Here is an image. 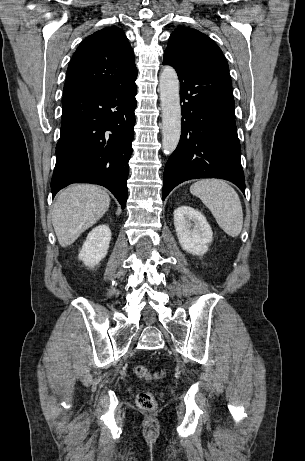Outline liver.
<instances>
[{"label":"liver","mask_w":305,"mask_h":461,"mask_svg":"<svg viewBox=\"0 0 305 461\" xmlns=\"http://www.w3.org/2000/svg\"><path fill=\"white\" fill-rule=\"evenodd\" d=\"M109 195L100 187L77 184L66 188L57 197L52 224L62 247H67L108 210Z\"/></svg>","instance_id":"obj_1"}]
</instances>
